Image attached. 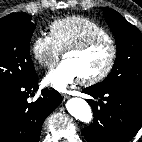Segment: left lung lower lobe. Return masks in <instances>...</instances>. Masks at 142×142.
I'll use <instances>...</instances> for the list:
<instances>
[{"label":"left lung lower lobe","mask_w":142,"mask_h":142,"mask_svg":"<svg viewBox=\"0 0 142 142\" xmlns=\"http://www.w3.org/2000/svg\"><path fill=\"white\" fill-rule=\"evenodd\" d=\"M83 92L100 98L87 100L94 113L93 123L82 130L88 142H129L142 127V88L92 85Z\"/></svg>","instance_id":"obj_1"}]
</instances>
